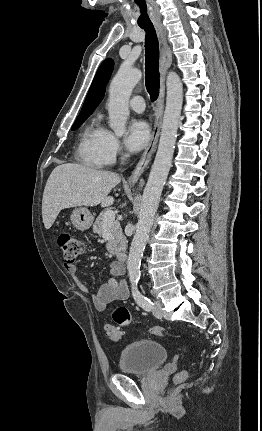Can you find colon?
Segmentation results:
<instances>
[{"mask_svg": "<svg viewBox=\"0 0 262 431\" xmlns=\"http://www.w3.org/2000/svg\"><path fill=\"white\" fill-rule=\"evenodd\" d=\"M58 244L66 264L74 263L85 250L84 241L69 233L61 234L58 238ZM112 317L117 326L106 324L105 332L110 340L117 342L121 338L120 327H129L132 323V317L129 309L125 306L116 307L113 310ZM149 331L156 336H163L169 333L166 329L161 327H152ZM187 377L188 373L186 371H181L176 375L175 381L182 382L186 380Z\"/></svg>", "mask_w": 262, "mask_h": 431, "instance_id": "colon-1", "label": "colon"}]
</instances>
